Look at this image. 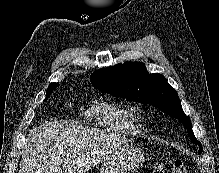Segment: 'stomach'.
Here are the masks:
<instances>
[{
	"mask_svg": "<svg viewBox=\"0 0 219 173\" xmlns=\"http://www.w3.org/2000/svg\"><path fill=\"white\" fill-rule=\"evenodd\" d=\"M144 160L145 155L141 148L123 144L102 162L100 173H135Z\"/></svg>",
	"mask_w": 219,
	"mask_h": 173,
	"instance_id": "obj_1",
	"label": "stomach"
}]
</instances>
